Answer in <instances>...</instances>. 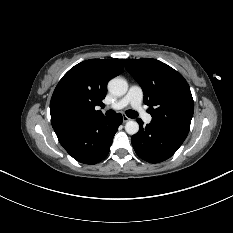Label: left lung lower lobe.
Listing matches in <instances>:
<instances>
[{"label":"left lung lower lobe","instance_id":"0a47b994","mask_svg":"<svg viewBox=\"0 0 233 233\" xmlns=\"http://www.w3.org/2000/svg\"><path fill=\"white\" fill-rule=\"evenodd\" d=\"M139 133L132 137V145L136 154L150 163H159L170 158L184 142L187 130L152 120L143 126L138 119Z\"/></svg>","mask_w":233,"mask_h":233}]
</instances>
